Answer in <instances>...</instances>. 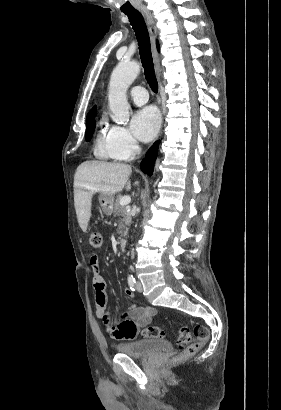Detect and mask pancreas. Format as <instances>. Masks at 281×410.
<instances>
[{
    "label": "pancreas",
    "mask_w": 281,
    "mask_h": 410,
    "mask_svg": "<svg viewBox=\"0 0 281 410\" xmlns=\"http://www.w3.org/2000/svg\"><path fill=\"white\" fill-rule=\"evenodd\" d=\"M120 198L121 196L118 195L114 201L113 214L118 217L117 221L119 234H126L128 231V226L131 223V214L126 206L120 205Z\"/></svg>",
    "instance_id": "cf45deb5"
}]
</instances>
